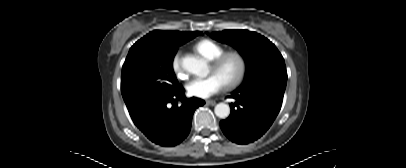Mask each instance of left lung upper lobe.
<instances>
[{
    "mask_svg": "<svg viewBox=\"0 0 406 168\" xmlns=\"http://www.w3.org/2000/svg\"><path fill=\"white\" fill-rule=\"evenodd\" d=\"M211 37L234 46L246 61L245 80L236 92L252 88L285 90L287 72L284 59L267 38L247 30H224L214 32Z\"/></svg>",
    "mask_w": 406,
    "mask_h": 168,
    "instance_id": "obj_1",
    "label": "left lung upper lobe"
}]
</instances>
